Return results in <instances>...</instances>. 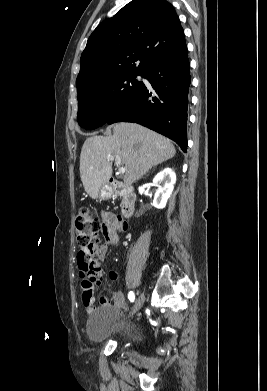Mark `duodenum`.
Masks as SVG:
<instances>
[{"mask_svg": "<svg viewBox=\"0 0 267 391\" xmlns=\"http://www.w3.org/2000/svg\"><path fill=\"white\" fill-rule=\"evenodd\" d=\"M108 186L111 194L122 198L121 213L123 217H131L136 208V194L130 186H127L115 178L111 177L108 181Z\"/></svg>", "mask_w": 267, "mask_h": 391, "instance_id": "duodenum-1", "label": "duodenum"}]
</instances>
